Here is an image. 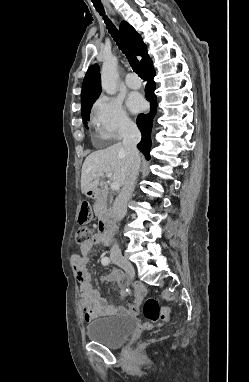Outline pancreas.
I'll use <instances>...</instances> for the list:
<instances>
[{
  "instance_id": "cf45deb5",
  "label": "pancreas",
  "mask_w": 249,
  "mask_h": 382,
  "mask_svg": "<svg viewBox=\"0 0 249 382\" xmlns=\"http://www.w3.org/2000/svg\"><path fill=\"white\" fill-rule=\"evenodd\" d=\"M112 197L108 196V190L102 189L99 191L95 198L94 203V213L98 218H103V216L108 212V203H111Z\"/></svg>"
}]
</instances>
